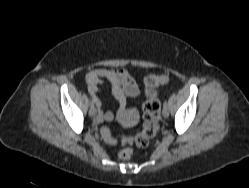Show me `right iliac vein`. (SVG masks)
I'll use <instances>...</instances> for the list:
<instances>
[{
  "label": "right iliac vein",
  "mask_w": 249,
  "mask_h": 188,
  "mask_svg": "<svg viewBox=\"0 0 249 188\" xmlns=\"http://www.w3.org/2000/svg\"><path fill=\"white\" fill-rule=\"evenodd\" d=\"M96 113H97L96 108L94 106L91 107L90 110H89V115L91 117H94L96 115Z\"/></svg>",
  "instance_id": "right-iliac-vein-1"
}]
</instances>
